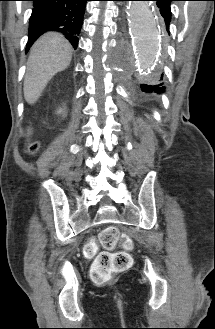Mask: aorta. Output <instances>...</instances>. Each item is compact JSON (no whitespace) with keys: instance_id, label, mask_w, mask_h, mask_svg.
Here are the masks:
<instances>
[{"instance_id":"aorta-1","label":"aorta","mask_w":215,"mask_h":329,"mask_svg":"<svg viewBox=\"0 0 215 329\" xmlns=\"http://www.w3.org/2000/svg\"><path fill=\"white\" fill-rule=\"evenodd\" d=\"M128 27L137 53L145 67L150 68L161 47V25L158 12L151 2H127Z\"/></svg>"}]
</instances>
